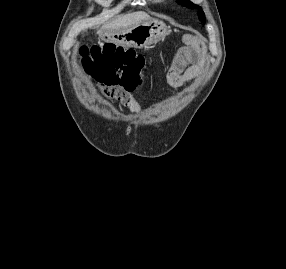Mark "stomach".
<instances>
[{"label":"stomach","mask_w":286,"mask_h":269,"mask_svg":"<svg viewBox=\"0 0 286 269\" xmlns=\"http://www.w3.org/2000/svg\"><path fill=\"white\" fill-rule=\"evenodd\" d=\"M166 35L167 27L162 21L150 20L141 21L121 33L111 35L107 41L123 46L146 48L158 43Z\"/></svg>","instance_id":"obj_1"}]
</instances>
